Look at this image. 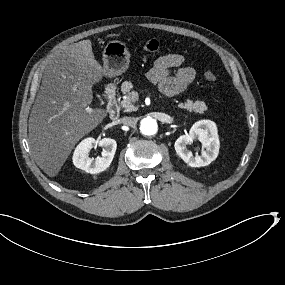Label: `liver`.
<instances>
[{
	"label": "liver",
	"instance_id": "6515ba94",
	"mask_svg": "<svg viewBox=\"0 0 285 285\" xmlns=\"http://www.w3.org/2000/svg\"><path fill=\"white\" fill-rule=\"evenodd\" d=\"M104 74L90 40L63 46L51 57L28 124L33 159L48 176L58 174L76 143L107 116L89 107L92 87Z\"/></svg>",
	"mask_w": 285,
	"mask_h": 285
}]
</instances>
